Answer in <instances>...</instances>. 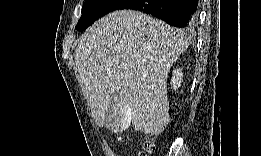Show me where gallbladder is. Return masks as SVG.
Returning a JSON list of instances; mask_svg holds the SVG:
<instances>
[{"label": "gallbladder", "mask_w": 261, "mask_h": 156, "mask_svg": "<svg viewBox=\"0 0 261 156\" xmlns=\"http://www.w3.org/2000/svg\"><path fill=\"white\" fill-rule=\"evenodd\" d=\"M120 97L112 98L119 99ZM109 105L108 111L105 113V123L106 127L115 130L116 132L128 129L132 120L131 107L127 103H122L120 101H113Z\"/></svg>", "instance_id": "1"}]
</instances>
